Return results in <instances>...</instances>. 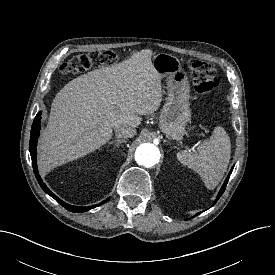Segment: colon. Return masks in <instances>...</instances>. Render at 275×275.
I'll return each instance as SVG.
<instances>
[{
    "instance_id": "obj_1",
    "label": "colon",
    "mask_w": 275,
    "mask_h": 275,
    "mask_svg": "<svg viewBox=\"0 0 275 275\" xmlns=\"http://www.w3.org/2000/svg\"><path fill=\"white\" fill-rule=\"evenodd\" d=\"M117 59L115 52L101 50L85 54H79L60 66L64 74H77L90 69L110 65ZM195 91L200 95H207L218 86V79L213 64L207 61L192 58L188 62Z\"/></svg>"
}]
</instances>
